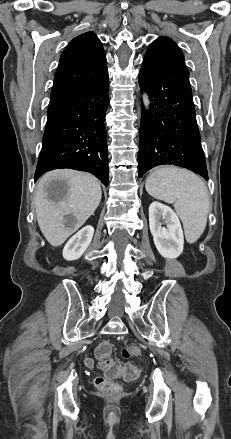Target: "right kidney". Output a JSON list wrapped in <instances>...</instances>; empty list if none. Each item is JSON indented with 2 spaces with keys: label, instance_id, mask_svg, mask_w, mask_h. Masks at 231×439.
I'll return each instance as SVG.
<instances>
[{
  "label": "right kidney",
  "instance_id": "1",
  "mask_svg": "<svg viewBox=\"0 0 231 439\" xmlns=\"http://www.w3.org/2000/svg\"><path fill=\"white\" fill-rule=\"evenodd\" d=\"M94 234V228L85 226L72 236L63 249V257L68 261L79 259L89 247Z\"/></svg>",
  "mask_w": 231,
  "mask_h": 439
}]
</instances>
